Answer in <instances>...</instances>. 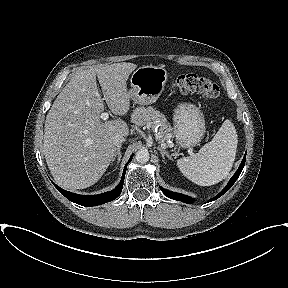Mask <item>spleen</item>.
<instances>
[{
	"instance_id": "spleen-1",
	"label": "spleen",
	"mask_w": 288,
	"mask_h": 288,
	"mask_svg": "<svg viewBox=\"0 0 288 288\" xmlns=\"http://www.w3.org/2000/svg\"><path fill=\"white\" fill-rule=\"evenodd\" d=\"M238 137L230 120H225L209 143L189 157L180 158L177 166L190 181L201 186L216 184L227 177L236 156Z\"/></svg>"
}]
</instances>
